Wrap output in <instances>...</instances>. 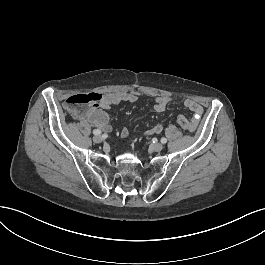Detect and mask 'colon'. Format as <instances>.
I'll use <instances>...</instances> for the list:
<instances>
[{
    "mask_svg": "<svg viewBox=\"0 0 265 265\" xmlns=\"http://www.w3.org/2000/svg\"><path fill=\"white\" fill-rule=\"evenodd\" d=\"M98 102V96L96 92L89 90L83 94H74L64 97L62 104L64 108L68 110L76 111L83 106H94ZM178 123L181 128L185 131L190 130L193 127V124L190 119L185 116H180L178 118Z\"/></svg>",
    "mask_w": 265,
    "mask_h": 265,
    "instance_id": "5ec220e1",
    "label": "colon"
}]
</instances>
